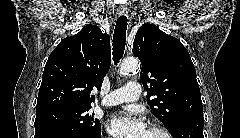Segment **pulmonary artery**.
<instances>
[{"instance_id": "obj_1", "label": "pulmonary artery", "mask_w": 240, "mask_h": 138, "mask_svg": "<svg viewBox=\"0 0 240 138\" xmlns=\"http://www.w3.org/2000/svg\"><path fill=\"white\" fill-rule=\"evenodd\" d=\"M141 93L140 86L136 81H130L122 88L116 89L107 94L102 103L106 106H116L124 103L135 102Z\"/></svg>"}]
</instances>
